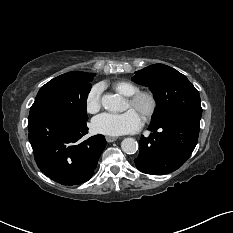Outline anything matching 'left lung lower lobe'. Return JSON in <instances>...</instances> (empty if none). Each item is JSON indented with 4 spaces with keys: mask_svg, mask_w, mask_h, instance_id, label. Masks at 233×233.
<instances>
[{
    "mask_svg": "<svg viewBox=\"0 0 233 233\" xmlns=\"http://www.w3.org/2000/svg\"><path fill=\"white\" fill-rule=\"evenodd\" d=\"M201 113L179 112L152 121L150 137H142L134 160L141 172L166 174L181 167L198 140Z\"/></svg>",
    "mask_w": 233,
    "mask_h": 233,
    "instance_id": "obj_1",
    "label": "left lung lower lobe"
}]
</instances>
